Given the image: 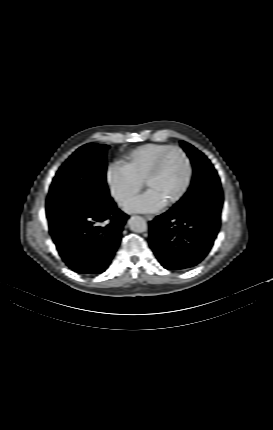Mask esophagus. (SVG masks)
Masks as SVG:
<instances>
[{
	"instance_id": "1",
	"label": "esophagus",
	"mask_w": 273,
	"mask_h": 430,
	"mask_svg": "<svg viewBox=\"0 0 273 430\" xmlns=\"http://www.w3.org/2000/svg\"><path fill=\"white\" fill-rule=\"evenodd\" d=\"M145 219L148 221H151V220H153V216L152 215H146Z\"/></svg>"
}]
</instances>
